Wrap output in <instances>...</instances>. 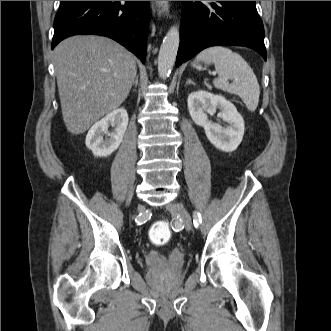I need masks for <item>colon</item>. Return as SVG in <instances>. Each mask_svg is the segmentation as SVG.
I'll return each mask as SVG.
<instances>
[{
    "mask_svg": "<svg viewBox=\"0 0 331 331\" xmlns=\"http://www.w3.org/2000/svg\"><path fill=\"white\" fill-rule=\"evenodd\" d=\"M172 235V230L168 223L164 221L155 222L149 230V238L155 245L166 244Z\"/></svg>",
    "mask_w": 331,
    "mask_h": 331,
    "instance_id": "1",
    "label": "colon"
}]
</instances>
